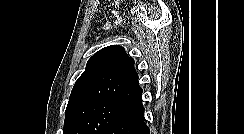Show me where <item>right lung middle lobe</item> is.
<instances>
[{"mask_svg":"<svg viewBox=\"0 0 244 134\" xmlns=\"http://www.w3.org/2000/svg\"><path fill=\"white\" fill-rule=\"evenodd\" d=\"M132 102L119 98L83 102L65 116L63 134H104Z\"/></svg>","mask_w":244,"mask_h":134,"instance_id":"right-lung-middle-lobe-1","label":"right lung middle lobe"}]
</instances>
